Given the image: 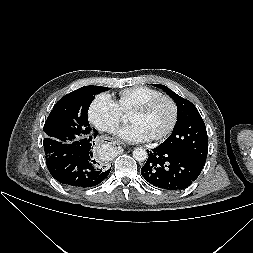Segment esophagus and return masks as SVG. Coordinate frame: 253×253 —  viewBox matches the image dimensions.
I'll use <instances>...</instances> for the list:
<instances>
[{"label":"esophagus","instance_id":"obj_1","mask_svg":"<svg viewBox=\"0 0 253 253\" xmlns=\"http://www.w3.org/2000/svg\"><path fill=\"white\" fill-rule=\"evenodd\" d=\"M110 143L117 147L120 146V143L118 141L111 140Z\"/></svg>","mask_w":253,"mask_h":253}]
</instances>
